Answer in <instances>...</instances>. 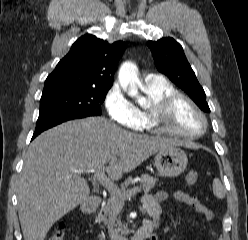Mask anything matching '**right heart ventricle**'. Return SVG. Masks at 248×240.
Segmentation results:
<instances>
[{
    "label": "right heart ventricle",
    "mask_w": 248,
    "mask_h": 240,
    "mask_svg": "<svg viewBox=\"0 0 248 240\" xmlns=\"http://www.w3.org/2000/svg\"><path fill=\"white\" fill-rule=\"evenodd\" d=\"M142 89L147 95L151 106L146 109H137L140 117V127L146 130H151L152 126L150 123V110L152 106L162 97L175 92L176 88L168 80L164 78H158L154 80H146L142 85Z\"/></svg>",
    "instance_id": "1"
}]
</instances>
